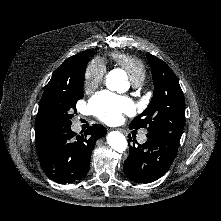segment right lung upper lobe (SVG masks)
Returning a JSON list of instances; mask_svg holds the SVG:
<instances>
[{
	"label": "right lung upper lobe",
	"instance_id": "right-lung-upper-lobe-1",
	"mask_svg": "<svg viewBox=\"0 0 221 221\" xmlns=\"http://www.w3.org/2000/svg\"><path fill=\"white\" fill-rule=\"evenodd\" d=\"M93 55V50L83 51L65 60L55 71L46 87L65 80L69 81L75 77L81 71L83 65L89 60V57ZM35 133L37 153L38 157H40L47 146V142L52 132L48 131L41 121L36 118Z\"/></svg>",
	"mask_w": 221,
	"mask_h": 221
}]
</instances>
